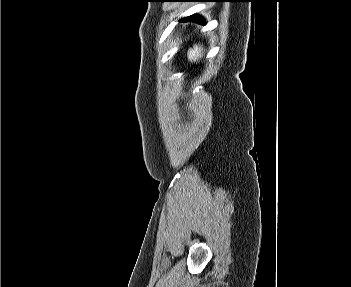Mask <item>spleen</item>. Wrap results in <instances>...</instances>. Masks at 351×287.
<instances>
[{
  "label": "spleen",
  "instance_id": "3e777b00",
  "mask_svg": "<svg viewBox=\"0 0 351 287\" xmlns=\"http://www.w3.org/2000/svg\"><path fill=\"white\" fill-rule=\"evenodd\" d=\"M203 48L199 45H194L193 49H189L187 56H188V60L190 62H196L198 61L199 58L202 57V52Z\"/></svg>",
  "mask_w": 351,
  "mask_h": 287
}]
</instances>
